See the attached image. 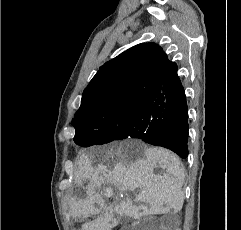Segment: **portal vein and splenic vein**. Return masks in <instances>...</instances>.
I'll list each match as a JSON object with an SVG mask.
<instances>
[{"mask_svg":"<svg viewBox=\"0 0 241 230\" xmlns=\"http://www.w3.org/2000/svg\"><path fill=\"white\" fill-rule=\"evenodd\" d=\"M107 196H111V194H110V193H108V194H107Z\"/></svg>","mask_w":241,"mask_h":230,"instance_id":"1","label":"portal vein and splenic vein"}]
</instances>
